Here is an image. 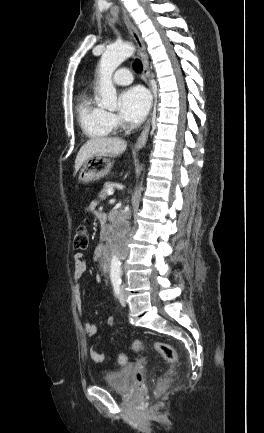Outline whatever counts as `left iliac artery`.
<instances>
[{
    "instance_id": "left-iliac-artery-1",
    "label": "left iliac artery",
    "mask_w": 264,
    "mask_h": 433,
    "mask_svg": "<svg viewBox=\"0 0 264 433\" xmlns=\"http://www.w3.org/2000/svg\"><path fill=\"white\" fill-rule=\"evenodd\" d=\"M112 284H113V287H114L115 295H118L119 292H120L121 278H119V277L113 278L112 279Z\"/></svg>"
}]
</instances>
